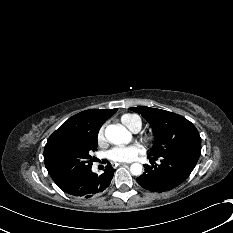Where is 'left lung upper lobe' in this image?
<instances>
[{
	"mask_svg": "<svg viewBox=\"0 0 233 233\" xmlns=\"http://www.w3.org/2000/svg\"><path fill=\"white\" fill-rule=\"evenodd\" d=\"M130 110L141 114L153 128L154 145L151 156H175L193 165L201 154V138L196 127L185 117L146 106Z\"/></svg>",
	"mask_w": 233,
	"mask_h": 233,
	"instance_id": "5c2ea615",
	"label": "left lung upper lobe"
}]
</instances>
